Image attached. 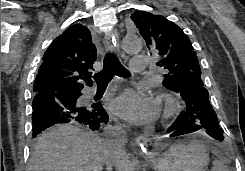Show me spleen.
I'll return each instance as SVG.
<instances>
[{"instance_id":"obj_1","label":"spleen","mask_w":245,"mask_h":171,"mask_svg":"<svg viewBox=\"0 0 245 171\" xmlns=\"http://www.w3.org/2000/svg\"><path fill=\"white\" fill-rule=\"evenodd\" d=\"M212 171H229L225 164L220 160H214Z\"/></svg>"}]
</instances>
